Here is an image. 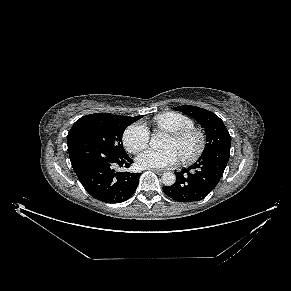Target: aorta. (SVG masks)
<instances>
[{"instance_id": "aorta-1", "label": "aorta", "mask_w": 291, "mask_h": 291, "mask_svg": "<svg viewBox=\"0 0 291 291\" xmlns=\"http://www.w3.org/2000/svg\"><path fill=\"white\" fill-rule=\"evenodd\" d=\"M162 138L163 135L159 134L156 136H153L150 145L153 149H158L162 145ZM176 181V176L172 172H166L162 175V182L165 186H172Z\"/></svg>"}]
</instances>
